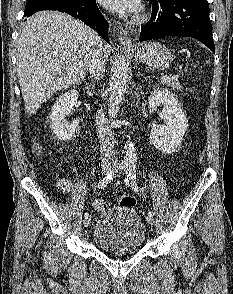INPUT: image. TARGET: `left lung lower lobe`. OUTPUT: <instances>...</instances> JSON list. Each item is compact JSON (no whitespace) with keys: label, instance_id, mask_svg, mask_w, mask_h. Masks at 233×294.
<instances>
[{"label":"left lung lower lobe","instance_id":"obj_1","mask_svg":"<svg viewBox=\"0 0 233 294\" xmlns=\"http://www.w3.org/2000/svg\"><path fill=\"white\" fill-rule=\"evenodd\" d=\"M151 19L141 27L140 41L164 36H188L215 53L207 0H149Z\"/></svg>","mask_w":233,"mask_h":294}]
</instances>
